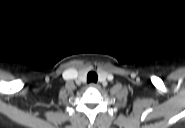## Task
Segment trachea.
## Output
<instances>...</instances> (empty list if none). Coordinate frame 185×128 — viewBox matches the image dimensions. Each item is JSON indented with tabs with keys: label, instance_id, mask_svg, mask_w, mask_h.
I'll use <instances>...</instances> for the list:
<instances>
[{
	"label": "trachea",
	"instance_id": "trachea-1",
	"mask_svg": "<svg viewBox=\"0 0 185 128\" xmlns=\"http://www.w3.org/2000/svg\"><path fill=\"white\" fill-rule=\"evenodd\" d=\"M98 80V75L94 71H90L87 75V82L88 83H96Z\"/></svg>",
	"mask_w": 185,
	"mask_h": 128
}]
</instances>
